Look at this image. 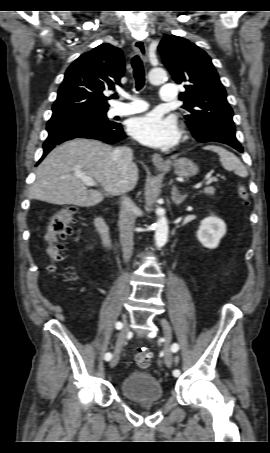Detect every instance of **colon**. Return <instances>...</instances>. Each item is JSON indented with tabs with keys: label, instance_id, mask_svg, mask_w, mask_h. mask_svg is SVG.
Segmentation results:
<instances>
[{
	"label": "colon",
	"instance_id": "5ec220e1",
	"mask_svg": "<svg viewBox=\"0 0 270 453\" xmlns=\"http://www.w3.org/2000/svg\"><path fill=\"white\" fill-rule=\"evenodd\" d=\"M238 196L244 204H249V192L243 185L238 187ZM76 206H66L56 212L50 219L45 234L47 243L46 253L50 259L49 270L55 271L56 264L61 262L63 246L62 242L70 235L71 225L76 221ZM135 362L141 369H145L152 363V354L148 351H139L135 355Z\"/></svg>",
	"mask_w": 270,
	"mask_h": 453
}]
</instances>
